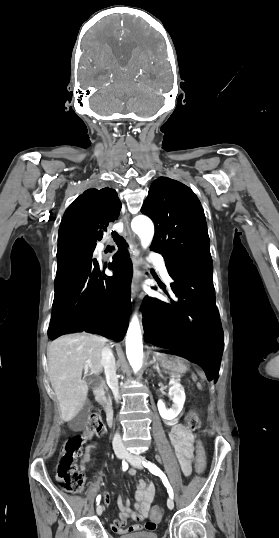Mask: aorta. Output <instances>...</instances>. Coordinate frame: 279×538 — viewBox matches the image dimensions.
Wrapping results in <instances>:
<instances>
[{"label":"aorta","mask_w":279,"mask_h":538,"mask_svg":"<svg viewBox=\"0 0 279 538\" xmlns=\"http://www.w3.org/2000/svg\"><path fill=\"white\" fill-rule=\"evenodd\" d=\"M132 230L139 236L141 245L146 249L154 236L153 222L146 216H136L131 223ZM126 354L128 361L135 372L142 367L143 344L140 322L135 313L129 324L126 335Z\"/></svg>","instance_id":"aorta-1"}]
</instances>
